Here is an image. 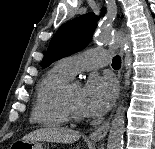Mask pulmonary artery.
<instances>
[{"label":"pulmonary artery","mask_w":155,"mask_h":149,"mask_svg":"<svg viewBox=\"0 0 155 149\" xmlns=\"http://www.w3.org/2000/svg\"><path fill=\"white\" fill-rule=\"evenodd\" d=\"M109 58L110 54L106 49H90L65 57L57 64L66 75L72 78L79 72L107 65Z\"/></svg>","instance_id":"e3ab8cb5"}]
</instances>
